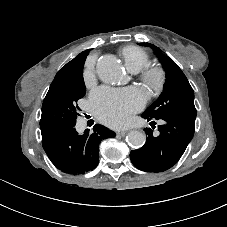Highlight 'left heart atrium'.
I'll return each mask as SVG.
<instances>
[{
  "mask_svg": "<svg viewBox=\"0 0 227 227\" xmlns=\"http://www.w3.org/2000/svg\"><path fill=\"white\" fill-rule=\"evenodd\" d=\"M145 98L134 90L96 89L90 97L94 114L105 124L119 127L127 123L130 115L139 111Z\"/></svg>",
  "mask_w": 227,
  "mask_h": 227,
  "instance_id": "obj_1",
  "label": "left heart atrium"
}]
</instances>
